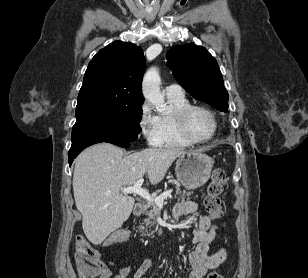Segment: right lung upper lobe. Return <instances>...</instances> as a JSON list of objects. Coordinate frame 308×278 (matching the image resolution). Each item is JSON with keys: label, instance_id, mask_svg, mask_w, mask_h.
<instances>
[{"label": "right lung upper lobe", "instance_id": "1", "mask_svg": "<svg viewBox=\"0 0 308 278\" xmlns=\"http://www.w3.org/2000/svg\"><path fill=\"white\" fill-rule=\"evenodd\" d=\"M144 70L142 49L135 44L116 41L101 49L85 72L76 115L142 106Z\"/></svg>", "mask_w": 308, "mask_h": 278}]
</instances>
